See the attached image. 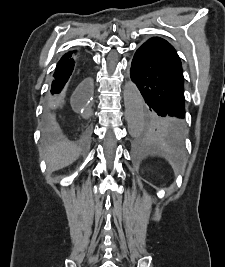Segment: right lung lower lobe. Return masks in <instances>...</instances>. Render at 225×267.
Instances as JSON below:
<instances>
[{"label": "right lung lower lobe", "instance_id": "right-lung-lower-lobe-1", "mask_svg": "<svg viewBox=\"0 0 225 267\" xmlns=\"http://www.w3.org/2000/svg\"><path fill=\"white\" fill-rule=\"evenodd\" d=\"M86 72V61L76 51H69L64 54L58 62L53 75L54 80L51 87V94L54 97L53 102L60 101L66 91ZM82 84L89 88L91 82L88 77H84ZM55 129L54 119L51 116V121L46 125L45 133L53 135Z\"/></svg>", "mask_w": 225, "mask_h": 267}]
</instances>
